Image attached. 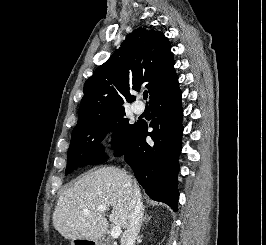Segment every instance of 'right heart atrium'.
<instances>
[{"instance_id":"d8ad5b80","label":"right heart atrium","mask_w":266,"mask_h":245,"mask_svg":"<svg viewBox=\"0 0 266 245\" xmlns=\"http://www.w3.org/2000/svg\"><path fill=\"white\" fill-rule=\"evenodd\" d=\"M102 145L110 154H115L119 148V141L117 134L114 131L107 132L102 138Z\"/></svg>"}]
</instances>
